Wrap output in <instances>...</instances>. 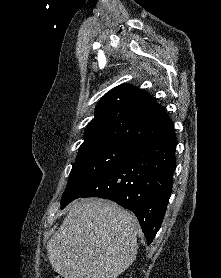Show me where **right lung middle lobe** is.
Here are the masks:
<instances>
[{
	"label": "right lung middle lobe",
	"mask_w": 221,
	"mask_h": 278,
	"mask_svg": "<svg viewBox=\"0 0 221 278\" xmlns=\"http://www.w3.org/2000/svg\"><path fill=\"white\" fill-rule=\"evenodd\" d=\"M132 147L131 143L115 140L93 141L81 145L62 196L61 208L76 199L98 177L123 161Z\"/></svg>",
	"instance_id": "1"
}]
</instances>
